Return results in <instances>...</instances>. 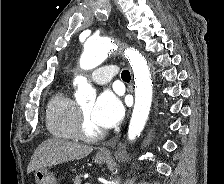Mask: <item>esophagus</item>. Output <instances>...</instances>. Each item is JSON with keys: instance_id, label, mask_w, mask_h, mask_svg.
<instances>
[{"instance_id": "1", "label": "esophagus", "mask_w": 224, "mask_h": 184, "mask_svg": "<svg viewBox=\"0 0 224 184\" xmlns=\"http://www.w3.org/2000/svg\"><path fill=\"white\" fill-rule=\"evenodd\" d=\"M100 155L102 156H109L110 155V152L108 149H103L99 152Z\"/></svg>"}]
</instances>
